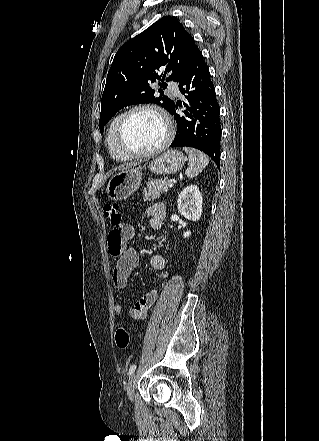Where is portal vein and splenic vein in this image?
I'll return each instance as SVG.
<instances>
[{
  "mask_svg": "<svg viewBox=\"0 0 319 441\" xmlns=\"http://www.w3.org/2000/svg\"><path fill=\"white\" fill-rule=\"evenodd\" d=\"M173 185H174V184H173L172 182H169V183H168V186H169V187H173Z\"/></svg>",
  "mask_w": 319,
  "mask_h": 441,
  "instance_id": "portal-vein-and-splenic-vein-1",
  "label": "portal vein and splenic vein"
}]
</instances>
